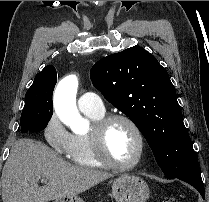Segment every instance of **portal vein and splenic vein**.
I'll return each instance as SVG.
<instances>
[{
  "label": "portal vein and splenic vein",
  "instance_id": "obj_1",
  "mask_svg": "<svg viewBox=\"0 0 209 202\" xmlns=\"http://www.w3.org/2000/svg\"><path fill=\"white\" fill-rule=\"evenodd\" d=\"M43 181H47V179L44 178Z\"/></svg>",
  "mask_w": 209,
  "mask_h": 202
}]
</instances>
